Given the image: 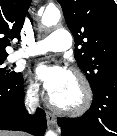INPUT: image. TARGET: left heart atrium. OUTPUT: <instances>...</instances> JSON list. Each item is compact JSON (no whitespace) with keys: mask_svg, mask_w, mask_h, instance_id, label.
<instances>
[{"mask_svg":"<svg viewBox=\"0 0 117 136\" xmlns=\"http://www.w3.org/2000/svg\"><path fill=\"white\" fill-rule=\"evenodd\" d=\"M35 75L52 96L66 85L69 71L60 65L39 63L35 68Z\"/></svg>","mask_w":117,"mask_h":136,"instance_id":"39dd6f15","label":"left heart atrium"}]
</instances>
